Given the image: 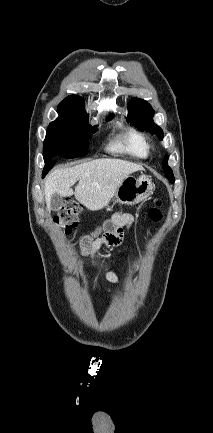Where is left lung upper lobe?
Listing matches in <instances>:
<instances>
[{
  "mask_svg": "<svg viewBox=\"0 0 213 433\" xmlns=\"http://www.w3.org/2000/svg\"><path fill=\"white\" fill-rule=\"evenodd\" d=\"M128 110V122H131L140 130H146L151 134L158 135L161 140L163 139V131L153 122L154 110L148 102L134 98L130 101ZM167 161L168 157H166L163 162V172L165 173V176L174 183V175L172 169L168 166Z\"/></svg>",
  "mask_w": 213,
  "mask_h": 433,
  "instance_id": "5c2ea615",
  "label": "left lung upper lobe"
}]
</instances>
